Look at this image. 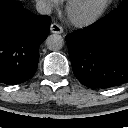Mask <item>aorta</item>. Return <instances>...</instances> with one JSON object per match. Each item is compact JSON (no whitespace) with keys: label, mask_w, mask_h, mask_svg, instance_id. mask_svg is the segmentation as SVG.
I'll return each instance as SVG.
<instances>
[{"label":"aorta","mask_w":128,"mask_h":128,"mask_svg":"<svg viewBox=\"0 0 128 128\" xmlns=\"http://www.w3.org/2000/svg\"><path fill=\"white\" fill-rule=\"evenodd\" d=\"M47 48L51 51H58L64 45V39L59 34L49 35L46 39Z\"/></svg>","instance_id":"1"}]
</instances>
